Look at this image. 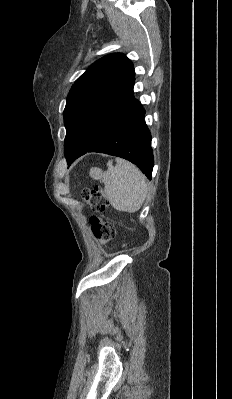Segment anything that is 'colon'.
<instances>
[{
	"instance_id": "1",
	"label": "colon",
	"mask_w": 232,
	"mask_h": 399,
	"mask_svg": "<svg viewBox=\"0 0 232 399\" xmlns=\"http://www.w3.org/2000/svg\"><path fill=\"white\" fill-rule=\"evenodd\" d=\"M80 196H86V209H91L93 214L107 215V203L111 202V195L106 191L102 192V186H97V191H91V183H86V191H82V186H77ZM94 196H97V203H94ZM88 225L94 230V238L102 239V243H107V237H117L118 225H114L111 217L102 216V221L98 217H89Z\"/></svg>"
}]
</instances>
